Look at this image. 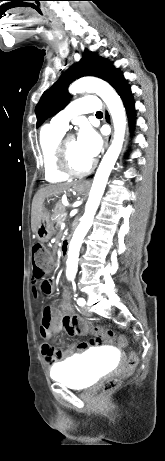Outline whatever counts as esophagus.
Returning a JSON list of instances; mask_svg holds the SVG:
<instances>
[{"label": "esophagus", "instance_id": "esophagus-1", "mask_svg": "<svg viewBox=\"0 0 165 461\" xmlns=\"http://www.w3.org/2000/svg\"><path fill=\"white\" fill-rule=\"evenodd\" d=\"M105 117H106V121L112 125V120H111V117L109 116V113L107 112V110L105 111ZM112 138H113V130H112L111 134L107 137V140H106V143H105L106 148L110 145V143L112 141ZM82 185L83 186H89L90 181H86V182L82 183Z\"/></svg>", "mask_w": 165, "mask_h": 461}]
</instances>
